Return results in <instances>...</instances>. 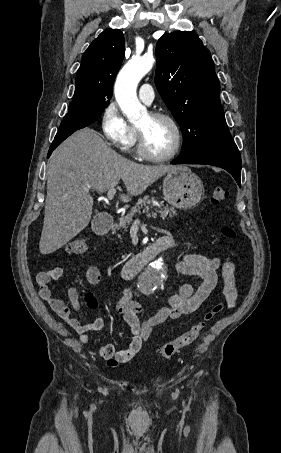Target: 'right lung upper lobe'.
I'll list each match as a JSON object with an SVG mask.
<instances>
[{
    "label": "right lung upper lobe",
    "mask_w": 281,
    "mask_h": 453,
    "mask_svg": "<svg viewBox=\"0 0 281 453\" xmlns=\"http://www.w3.org/2000/svg\"><path fill=\"white\" fill-rule=\"evenodd\" d=\"M125 54V40L118 29H107L87 48L78 69L69 107L105 108L112 97L113 81Z\"/></svg>",
    "instance_id": "cb5924a9"
}]
</instances>
